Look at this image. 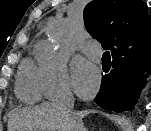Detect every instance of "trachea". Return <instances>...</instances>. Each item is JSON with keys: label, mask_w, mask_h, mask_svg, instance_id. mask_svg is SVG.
Instances as JSON below:
<instances>
[{"label": "trachea", "mask_w": 151, "mask_h": 131, "mask_svg": "<svg viewBox=\"0 0 151 131\" xmlns=\"http://www.w3.org/2000/svg\"><path fill=\"white\" fill-rule=\"evenodd\" d=\"M102 60L105 61V62H110L111 57H110V52L109 51L104 52Z\"/></svg>", "instance_id": "obj_1"}]
</instances>
